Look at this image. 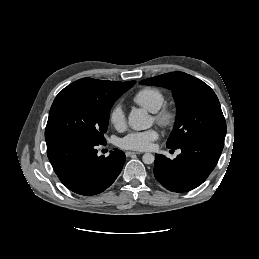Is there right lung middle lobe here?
Wrapping results in <instances>:
<instances>
[{
    "instance_id": "right-lung-middle-lobe-1",
    "label": "right lung middle lobe",
    "mask_w": 259,
    "mask_h": 259,
    "mask_svg": "<svg viewBox=\"0 0 259 259\" xmlns=\"http://www.w3.org/2000/svg\"><path fill=\"white\" fill-rule=\"evenodd\" d=\"M134 84L135 81H129L118 95L106 100L62 90L50 109L45 129L46 143L81 140L104 144L110 109Z\"/></svg>"
}]
</instances>
